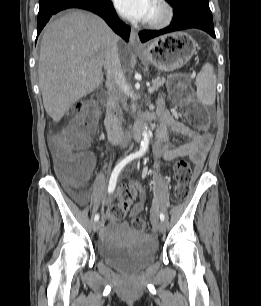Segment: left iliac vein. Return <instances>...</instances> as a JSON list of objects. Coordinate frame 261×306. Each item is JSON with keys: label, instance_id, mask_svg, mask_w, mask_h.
<instances>
[{"label": "left iliac vein", "instance_id": "4c4485c4", "mask_svg": "<svg viewBox=\"0 0 261 306\" xmlns=\"http://www.w3.org/2000/svg\"><path fill=\"white\" fill-rule=\"evenodd\" d=\"M155 225L160 232L163 233L165 231V224L163 221H156Z\"/></svg>", "mask_w": 261, "mask_h": 306}]
</instances>
